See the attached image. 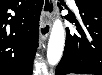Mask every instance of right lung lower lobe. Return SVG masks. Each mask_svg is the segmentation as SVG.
Here are the masks:
<instances>
[{"label": "right lung lower lobe", "mask_w": 102, "mask_h": 75, "mask_svg": "<svg viewBox=\"0 0 102 75\" xmlns=\"http://www.w3.org/2000/svg\"><path fill=\"white\" fill-rule=\"evenodd\" d=\"M43 2L0 0V75L32 74Z\"/></svg>", "instance_id": "right-lung-lower-lobe-1"}]
</instances>
